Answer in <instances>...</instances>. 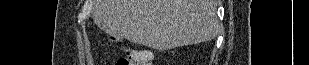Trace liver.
Segmentation results:
<instances>
[{
	"label": "liver",
	"instance_id": "obj_1",
	"mask_svg": "<svg viewBox=\"0 0 309 65\" xmlns=\"http://www.w3.org/2000/svg\"><path fill=\"white\" fill-rule=\"evenodd\" d=\"M217 0H94L93 21L110 36L160 51L214 39Z\"/></svg>",
	"mask_w": 309,
	"mask_h": 65
}]
</instances>
